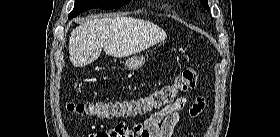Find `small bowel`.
Listing matches in <instances>:
<instances>
[{
  "label": "small bowel",
  "mask_w": 280,
  "mask_h": 137,
  "mask_svg": "<svg viewBox=\"0 0 280 137\" xmlns=\"http://www.w3.org/2000/svg\"><path fill=\"white\" fill-rule=\"evenodd\" d=\"M205 107L203 94L199 92L192 102L186 97L177 98L149 115L144 121L135 123L132 127L119 123L115 128L94 130L90 137H114L113 135L138 134L140 137H172L175 128L185 119L196 118Z\"/></svg>",
  "instance_id": "1"
}]
</instances>
